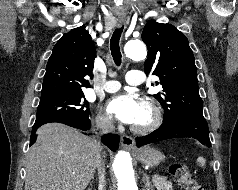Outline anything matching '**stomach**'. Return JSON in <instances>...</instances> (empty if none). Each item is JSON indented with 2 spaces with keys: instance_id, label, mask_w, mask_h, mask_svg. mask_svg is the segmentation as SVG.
<instances>
[{
  "instance_id": "1",
  "label": "stomach",
  "mask_w": 238,
  "mask_h": 190,
  "mask_svg": "<svg viewBox=\"0 0 238 190\" xmlns=\"http://www.w3.org/2000/svg\"><path fill=\"white\" fill-rule=\"evenodd\" d=\"M137 158L143 164L155 167L163 161L164 155L155 148L144 147L137 152Z\"/></svg>"
}]
</instances>
